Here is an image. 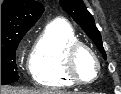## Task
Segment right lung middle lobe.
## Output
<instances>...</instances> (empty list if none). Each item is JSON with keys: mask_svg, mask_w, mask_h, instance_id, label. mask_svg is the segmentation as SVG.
Segmentation results:
<instances>
[{"mask_svg": "<svg viewBox=\"0 0 121 94\" xmlns=\"http://www.w3.org/2000/svg\"><path fill=\"white\" fill-rule=\"evenodd\" d=\"M28 30H20L1 36V85L18 80L15 54L18 44Z\"/></svg>", "mask_w": 121, "mask_h": 94, "instance_id": "1", "label": "right lung middle lobe"}]
</instances>
